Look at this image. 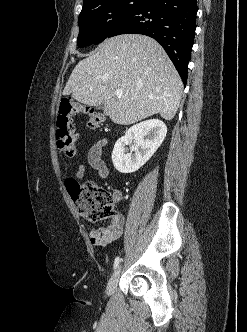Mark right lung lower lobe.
<instances>
[{"label": "right lung lower lobe", "mask_w": 247, "mask_h": 332, "mask_svg": "<svg viewBox=\"0 0 247 332\" xmlns=\"http://www.w3.org/2000/svg\"><path fill=\"white\" fill-rule=\"evenodd\" d=\"M197 10V0H147L121 19L108 37L138 33L154 38L162 45L186 86Z\"/></svg>", "instance_id": "right-lung-lower-lobe-1"}]
</instances>
